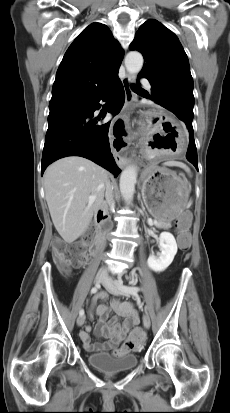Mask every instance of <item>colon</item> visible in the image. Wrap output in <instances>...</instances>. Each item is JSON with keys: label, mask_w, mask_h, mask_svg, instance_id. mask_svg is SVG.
<instances>
[{"label": "colon", "mask_w": 230, "mask_h": 413, "mask_svg": "<svg viewBox=\"0 0 230 413\" xmlns=\"http://www.w3.org/2000/svg\"><path fill=\"white\" fill-rule=\"evenodd\" d=\"M188 223L189 218L186 214L181 215L176 223V227L180 234L179 243L181 252H188L192 246V241L188 237ZM89 240L90 238L86 237L83 241L77 242L69 248L63 241L55 240L52 243L51 253L54 262L61 272L68 274L76 263L87 257V244ZM67 253H69V256ZM142 342V331L140 329H135L127 340V347L130 350L139 349Z\"/></svg>", "instance_id": "obj_1"}]
</instances>
